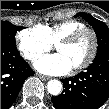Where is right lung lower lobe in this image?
<instances>
[{
  "instance_id": "1",
  "label": "right lung lower lobe",
  "mask_w": 109,
  "mask_h": 109,
  "mask_svg": "<svg viewBox=\"0 0 109 109\" xmlns=\"http://www.w3.org/2000/svg\"><path fill=\"white\" fill-rule=\"evenodd\" d=\"M34 71L17 50L1 47V109L14 103L24 81Z\"/></svg>"
}]
</instances>
